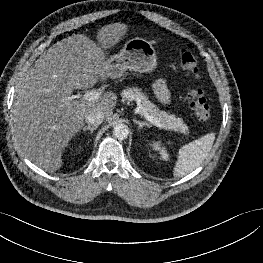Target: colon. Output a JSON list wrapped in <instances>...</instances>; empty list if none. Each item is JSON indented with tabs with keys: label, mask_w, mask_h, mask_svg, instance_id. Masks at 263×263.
Masks as SVG:
<instances>
[{
	"label": "colon",
	"mask_w": 263,
	"mask_h": 263,
	"mask_svg": "<svg viewBox=\"0 0 263 263\" xmlns=\"http://www.w3.org/2000/svg\"><path fill=\"white\" fill-rule=\"evenodd\" d=\"M180 62L182 68L186 71L189 77L193 79L199 78L198 62L194 53L188 49H182L180 51ZM187 101L196 118L200 122L208 123L211 121L212 111L207 103L204 91L200 87L194 86L189 89L187 93Z\"/></svg>",
	"instance_id": "colon-1"
}]
</instances>
